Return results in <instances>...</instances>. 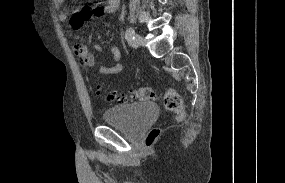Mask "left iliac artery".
Returning <instances> with one entry per match:
<instances>
[{"label":"left iliac artery","mask_w":285,"mask_h":183,"mask_svg":"<svg viewBox=\"0 0 285 183\" xmlns=\"http://www.w3.org/2000/svg\"><path fill=\"white\" fill-rule=\"evenodd\" d=\"M134 36H135V31L132 27H129L125 33V38L128 42H131L132 40H134Z\"/></svg>","instance_id":"1"}]
</instances>
